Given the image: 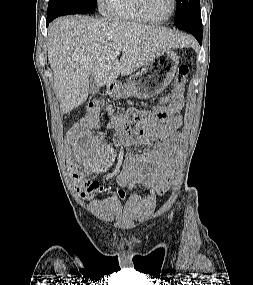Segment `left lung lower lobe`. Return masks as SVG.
Masks as SVG:
<instances>
[{
	"label": "left lung lower lobe",
	"instance_id": "0a47b994",
	"mask_svg": "<svg viewBox=\"0 0 253 285\" xmlns=\"http://www.w3.org/2000/svg\"><path fill=\"white\" fill-rule=\"evenodd\" d=\"M179 29L190 32L202 44V20L201 16L191 19L190 21L177 26Z\"/></svg>",
	"mask_w": 253,
	"mask_h": 285
}]
</instances>
